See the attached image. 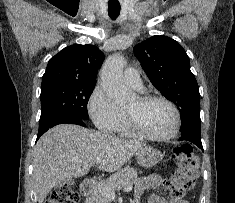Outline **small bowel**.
I'll use <instances>...</instances> for the list:
<instances>
[{"label":"small bowel","mask_w":235,"mask_h":203,"mask_svg":"<svg viewBox=\"0 0 235 203\" xmlns=\"http://www.w3.org/2000/svg\"><path fill=\"white\" fill-rule=\"evenodd\" d=\"M162 184V179L155 174L148 175L141 177L135 186V192H134V200L138 201L140 203L141 197L143 196L144 192H146L149 189L159 187ZM148 203H188L183 198H175V197H163L158 194H150L148 198Z\"/></svg>","instance_id":"c3829d8e"}]
</instances>
